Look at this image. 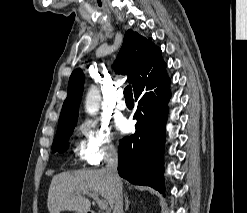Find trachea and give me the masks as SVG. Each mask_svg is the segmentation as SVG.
Masks as SVG:
<instances>
[{"mask_svg": "<svg viewBox=\"0 0 247 213\" xmlns=\"http://www.w3.org/2000/svg\"><path fill=\"white\" fill-rule=\"evenodd\" d=\"M124 96H125V99H133L132 88L130 85L125 87Z\"/></svg>", "mask_w": 247, "mask_h": 213, "instance_id": "3493384b", "label": "trachea"}]
</instances>
